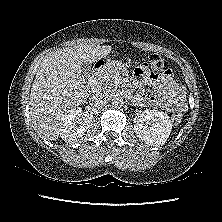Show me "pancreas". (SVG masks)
<instances>
[{
	"mask_svg": "<svg viewBox=\"0 0 222 222\" xmlns=\"http://www.w3.org/2000/svg\"><path fill=\"white\" fill-rule=\"evenodd\" d=\"M114 76L115 75L106 77V79L99 84L98 92H102L106 95L114 93L116 91V86L114 85Z\"/></svg>",
	"mask_w": 222,
	"mask_h": 222,
	"instance_id": "1",
	"label": "pancreas"
}]
</instances>
